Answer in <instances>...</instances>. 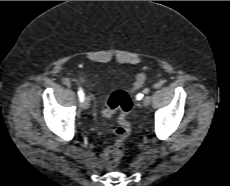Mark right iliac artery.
<instances>
[{
	"label": "right iliac artery",
	"instance_id": "82829eb1",
	"mask_svg": "<svg viewBox=\"0 0 230 186\" xmlns=\"http://www.w3.org/2000/svg\"><path fill=\"white\" fill-rule=\"evenodd\" d=\"M78 95H79L80 102H82L84 100V93L81 88H79Z\"/></svg>",
	"mask_w": 230,
	"mask_h": 186
}]
</instances>
